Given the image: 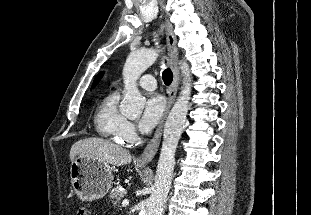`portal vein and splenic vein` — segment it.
Returning <instances> with one entry per match:
<instances>
[{
	"instance_id": "1",
	"label": "portal vein and splenic vein",
	"mask_w": 311,
	"mask_h": 215,
	"mask_svg": "<svg viewBox=\"0 0 311 215\" xmlns=\"http://www.w3.org/2000/svg\"><path fill=\"white\" fill-rule=\"evenodd\" d=\"M129 204V201L127 199L123 200L122 206L125 207Z\"/></svg>"
}]
</instances>
